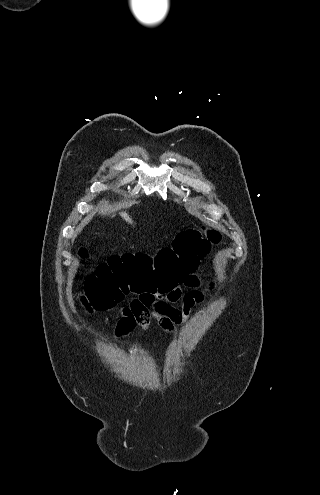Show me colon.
<instances>
[{"label":"colon","mask_w":320,"mask_h":495,"mask_svg":"<svg viewBox=\"0 0 320 495\" xmlns=\"http://www.w3.org/2000/svg\"><path fill=\"white\" fill-rule=\"evenodd\" d=\"M220 239L217 230L191 228L178 233L171 247L161 249L155 257L143 253L112 256L87 278L82 301L103 311L120 302L129 291H168L182 281L185 273L194 271ZM80 253L82 257L86 255L84 249Z\"/></svg>","instance_id":"colon-1"}]
</instances>
